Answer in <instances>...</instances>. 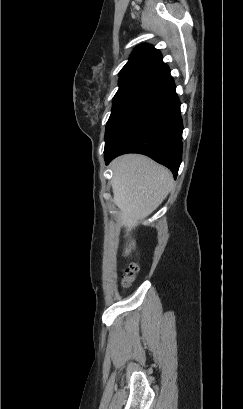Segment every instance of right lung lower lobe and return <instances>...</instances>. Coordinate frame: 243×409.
<instances>
[{
	"label": "right lung lower lobe",
	"mask_w": 243,
	"mask_h": 409,
	"mask_svg": "<svg viewBox=\"0 0 243 409\" xmlns=\"http://www.w3.org/2000/svg\"><path fill=\"white\" fill-rule=\"evenodd\" d=\"M182 119L170 75L128 116L104 150L108 164L118 155L140 153L168 167L176 178L182 159Z\"/></svg>",
	"instance_id": "1"
}]
</instances>
